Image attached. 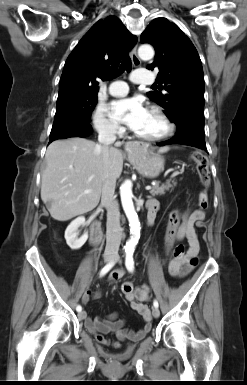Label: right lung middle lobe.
<instances>
[{
  "label": "right lung middle lobe",
  "mask_w": 247,
  "mask_h": 385,
  "mask_svg": "<svg viewBox=\"0 0 247 385\" xmlns=\"http://www.w3.org/2000/svg\"><path fill=\"white\" fill-rule=\"evenodd\" d=\"M97 103V93L69 91L59 93L52 129L72 122L89 123Z\"/></svg>",
  "instance_id": "right-lung-middle-lobe-1"
}]
</instances>
